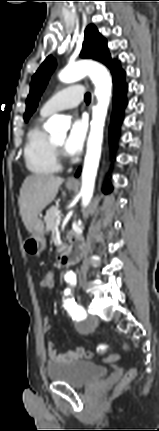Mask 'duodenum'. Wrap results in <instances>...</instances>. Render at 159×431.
I'll use <instances>...</instances> for the list:
<instances>
[{"label":"duodenum","instance_id":"obj_1","mask_svg":"<svg viewBox=\"0 0 159 431\" xmlns=\"http://www.w3.org/2000/svg\"><path fill=\"white\" fill-rule=\"evenodd\" d=\"M83 253V243L80 237H71L58 259L60 266L75 262Z\"/></svg>","mask_w":159,"mask_h":431}]
</instances>
